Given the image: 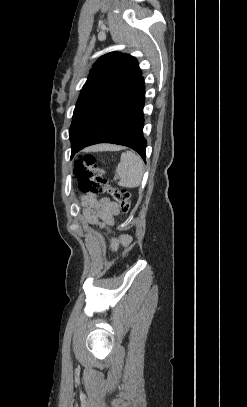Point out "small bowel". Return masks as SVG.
Returning a JSON list of instances; mask_svg holds the SVG:
<instances>
[{
	"instance_id": "small-bowel-1",
	"label": "small bowel",
	"mask_w": 247,
	"mask_h": 407,
	"mask_svg": "<svg viewBox=\"0 0 247 407\" xmlns=\"http://www.w3.org/2000/svg\"><path fill=\"white\" fill-rule=\"evenodd\" d=\"M118 206L109 200H102L90 206L86 212L87 219L92 224H97L101 228H108L114 223V218L118 214ZM131 237L128 235H121L117 239L111 240V249L116 251L119 245L123 247L129 246Z\"/></svg>"
}]
</instances>
